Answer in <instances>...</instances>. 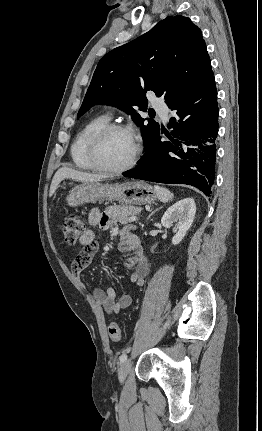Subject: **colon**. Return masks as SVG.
I'll use <instances>...</instances> for the list:
<instances>
[{"mask_svg":"<svg viewBox=\"0 0 262 431\" xmlns=\"http://www.w3.org/2000/svg\"><path fill=\"white\" fill-rule=\"evenodd\" d=\"M86 221L76 215H71L65 219L63 224V239L64 243L69 246L75 245L80 237L85 233ZM84 249L80 252L82 253ZM108 336L112 341H119L121 338V332L119 325L115 322H111L107 325Z\"/></svg>","mask_w":262,"mask_h":431,"instance_id":"colon-1","label":"colon"}]
</instances>
